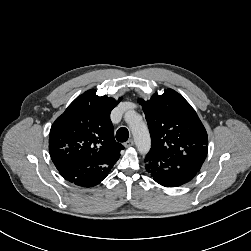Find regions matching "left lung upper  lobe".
I'll return each instance as SVG.
<instances>
[{"mask_svg":"<svg viewBox=\"0 0 251 251\" xmlns=\"http://www.w3.org/2000/svg\"><path fill=\"white\" fill-rule=\"evenodd\" d=\"M151 135L152 153L168 158L203 163L208 151L207 132L195 110L176 91L155 93L150 100H139Z\"/></svg>","mask_w":251,"mask_h":251,"instance_id":"5c2ea615","label":"left lung upper lobe"}]
</instances>
